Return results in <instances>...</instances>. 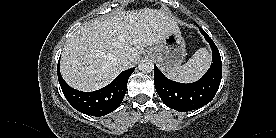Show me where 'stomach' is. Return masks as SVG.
Wrapping results in <instances>:
<instances>
[{
    "mask_svg": "<svg viewBox=\"0 0 276 138\" xmlns=\"http://www.w3.org/2000/svg\"><path fill=\"white\" fill-rule=\"evenodd\" d=\"M148 54L158 62L163 71L179 67L185 57V41L180 31L170 32L160 44L150 48Z\"/></svg>",
    "mask_w": 276,
    "mask_h": 138,
    "instance_id": "stomach-1",
    "label": "stomach"
}]
</instances>
